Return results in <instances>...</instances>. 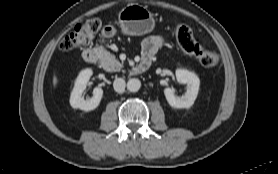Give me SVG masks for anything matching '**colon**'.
Masks as SVG:
<instances>
[{"label":"colon","instance_id":"obj_1","mask_svg":"<svg viewBox=\"0 0 278 174\" xmlns=\"http://www.w3.org/2000/svg\"><path fill=\"white\" fill-rule=\"evenodd\" d=\"M100 28L101 21L97 18L76 25L73 31L60 41L59 50L67 52L88 45ZM176 39L179 47L186 54L198 59L203 66L213 67L219 63L220 55L216 51L208 50L199 44L188 25L181 24L177 27Z\"/></svg>","mask_w":278,"mask_h":174}]
</instances>
